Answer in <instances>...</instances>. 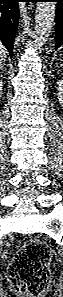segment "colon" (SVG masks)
<instances>
[{
    "label": "colon",
    "mask_w": 63,
    "mask_h": 297,
    "mask_svg": "<svg viewBox=\"0 0 63 297\" xmlns=\"http://www.w3.org/2000/svg\"><path fill=\"white\" fill-rule=\"evenodd\" d=\"M50 253L37 239L25 242L16 252L9 268V283L23 297H40L48 288Z\"/></svg>",
    "instance_id": "1"
}]
</instances>
